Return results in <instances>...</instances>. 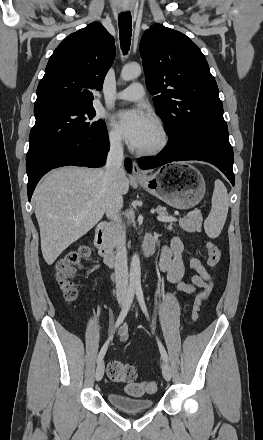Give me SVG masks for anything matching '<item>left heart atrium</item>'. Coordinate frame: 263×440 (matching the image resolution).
Here are the masks:
<instances>
[{
    "mask_svg": "<svg viewBox=\"0 0 263 440\" xmlns=\"http://www.w3.org/2000/svg\"><path fill=\"white\" fill-rule=\"evenodd\" d=\"M151 123V117L139 109L122 110L116 115L118 131L126 141L136 147Z\"/></svg>",
    "mask_w": 263,
    "mask_h": 440,
    "instance_id": "39dd6f15",
    "label": "left heart atrium"
}]
</instances>
